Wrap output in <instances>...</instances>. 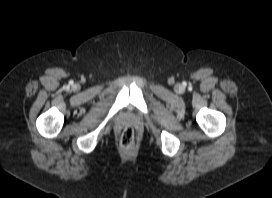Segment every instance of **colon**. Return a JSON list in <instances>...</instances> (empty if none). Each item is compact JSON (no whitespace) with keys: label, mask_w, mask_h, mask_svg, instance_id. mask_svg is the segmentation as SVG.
<instances>
[{"label":"colon","mask_w":272,"mask_h":198,"mask_svg":"<svg viewBox=\"0 0 272 198\" xmlns=\"http://www.w3.org/2000/svg\"><path fill=\"white\" fill-rule=\"evenodd\" d=\"M135 134L131 127H126L120 137V143L124 148H129L134 144Z\"/></svg>","instance_id":"1"}]
</instances>
